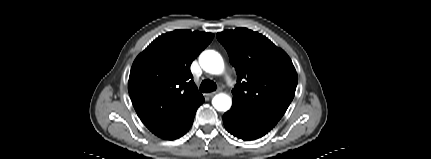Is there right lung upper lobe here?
I'll return each mask as SVG.
<instances>
[{
  "mask_svg": "<svg viewBox=\"0 0 431 159\" xmlns=\"http://www.w3.org/2000/svg\"><path fill=\"white\" fill-rule=\"evenodd\" d=\"M213 38L212 33L175 30L156 38L135 59L129 95L141 121L155 135L166 138L204 99L190 65Z\"/></svg>",
  "mask_w": 431,
  "mask_h": 159,
  "instance_id": "cb5924a9",
  "label": "right lung upper lobe"
}]
</instances>
